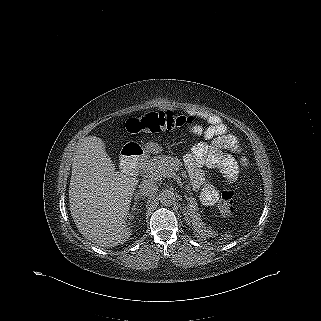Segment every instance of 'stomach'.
Instances as JSON below:
<instances>
[{"label":"stomach","mask_w":321,"mask_h":321,"mask_svg":"<svg viewBox=\"0 0 321 321\" xmlns=\"http://www.w3.org/2000/svg\"><path fill=\"white\" fill-rule=\"evenodd\" d=\"M153 148H155L154 145L148 144V145H145V146H144V151H145V152H150V151H153V150H152Z\"/></svg>","instance_id":"stomach-1"}]
</instances>
